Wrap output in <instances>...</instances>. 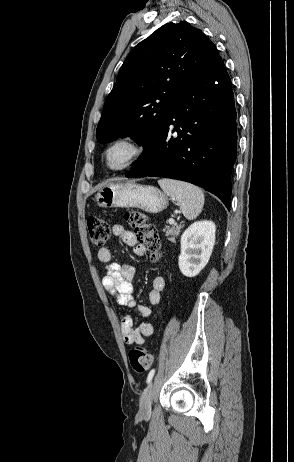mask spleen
<instances>
[{"label":"spleen","mask_w":294,"mask_h":462,"mask_svg":"<svg viewBox=\"0 0 294 462\" xmlns=\"http://www.w3.org/2000/svg\"><path fill=\"white\" fill-rule=\"evenodd\" d=\"M158 184L168 196L178 202L188 220L195 219L202 211L205 199L202 190L197 186L172 179H160Z\"/></svg>","instance_id":"obj_1"}]
</instances>
